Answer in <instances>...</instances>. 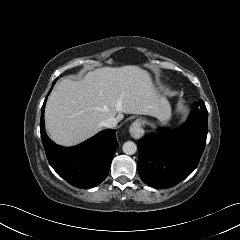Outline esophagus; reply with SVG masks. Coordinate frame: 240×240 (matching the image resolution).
Returning a JSON list of instances; mask_svg holds the SVG:
<instances>
[{"mask_svg":"<svg viewBox=\"0 0 240 240\" xmlns=\"http://www.w3.org/2000/svg\"><path fill=\"white\" fill-rule=\"evenodd\" d=\"M129 132L131 134V136L135 139H139L144 135V129L142 127V123L140 119L135 120L130 128H129Z\"/></svg>","mask_w":240,"mask_h":240,"instance_id":"esophagus-1","label":"esophagus"}]
</instances>
